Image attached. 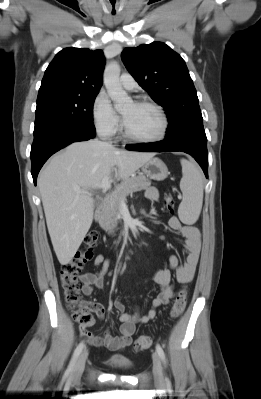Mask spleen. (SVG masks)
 <instances>
[{"instance_id": "1", "label": "spleen", "mask_w": 261, "mask_h": 399, "mask_svg": "<svg viewBox=\"0 0 261 399\" xmlns=\"http://www.w3.org/2000/svg\"><path fill=\"white\" fill-rule=\"evenodd\" d=\"M182 179L180 189L183 194L179 205L178 216L188 225L194 224L199 218L203 203V174L191 161L181 159Z\"/></svg>"}]
</instances>
